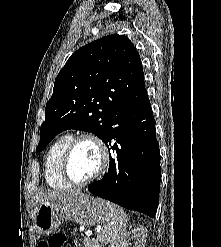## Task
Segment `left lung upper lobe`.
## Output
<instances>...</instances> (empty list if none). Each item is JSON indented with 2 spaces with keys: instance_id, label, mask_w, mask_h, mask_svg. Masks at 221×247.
I'll use <instances>...</instances> for the list:
<instances>
[{
  "instance_id": "5c2ea615",
  "label": "left lung upper lobe",
  "mask_w": 221,
  "mask_h": 247,
  "mask_svg": "<svg viewBox=\"0 0 221 247\" xmlns=\"http://www.w3.org/2000/svg\"><path fill=\"white\" fill-rule=\"evenodd\" d=\"M148 100L132 42L118 34L93 41L74 52L56 77L37 151L67 129L92 132L104 141L118 112Z\"/></svg>"
}]
</instances>
